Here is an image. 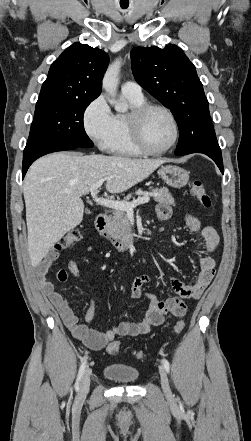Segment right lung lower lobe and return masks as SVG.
Masks as SVG:
<instances>
[{
    "instance_id": "right-lung-lower-lobe-1",
    "label": "right lung lower lobe",
    "mask_w": 251,
    "mask_h": 441,
    "mask_svg": "<svg viewBox=\"0 0 251 441\" xmlns=\"http://www.w3.org/2000/svg\"><path fill=\"white\" fill-rule=\"evenodd\" d=\"M76 148L80 147L67 146L35 138L28 139L23 153L22 177L25 176L29 166L39 157L52 152L72 150Z\"/></svg>"
}]
</instances>
